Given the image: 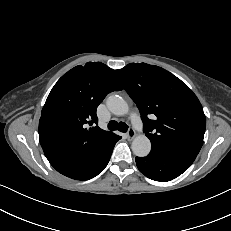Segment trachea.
<instances>
[{"label": "trachea", "mask_w": 231, "mask_h": 231, "mask_svg": "<svg viewBox=\"0 0 231 231\" xmlns=\"http://www.w3.org/2000/svg\"><path fill=\"white\" fill-rule=\"evenodd\" d=\"M108 129L112 130V131L118 130L120 132L125 133L128 130V126L126 125V123H123V122L118 123V122L112 120L108 123Z\"/></svg>", "instance_id": "3493384b"}]
</instances>
